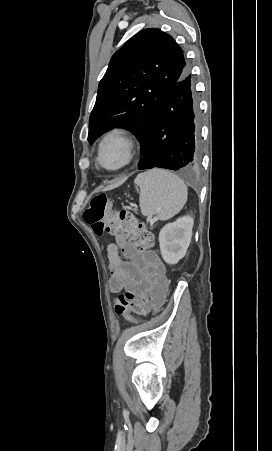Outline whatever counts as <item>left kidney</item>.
Returning <instances> with one entry per match:
<instances>
[{
  "mask_svg": "<svg viewBox=\"0 0 272 451\" xmlns=\"http://www.w3.org/2000/svg\"><path fill=\"white\" fill-rule=\"evenodd\" d=\"M194 220L191 216L178 218L172 224H166L159 233L162 257L166 263H178L184 257L192 237Z\"/></svg>",
  "mask_w": 272,
  "mask_h": 451,
  "instance_id": "left-kidney-1",
  "label": "left kidney"
}]
</instances>
